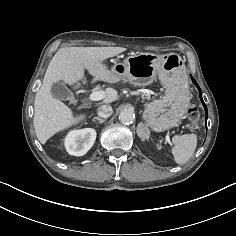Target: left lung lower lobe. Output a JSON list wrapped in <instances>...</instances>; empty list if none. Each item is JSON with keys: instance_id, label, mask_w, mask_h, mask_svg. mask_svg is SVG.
<instances>
[{"instance_id": "1", "label": "left lung lower lobe", "mask_w": 236, "mask_h": 236, "mask_svg": "<svg viewBox=\"0 0 236 236\" xmlns=\"http://www.w3.org/2000/svg\"><path fill=\"white\" fill-rule=\"evenodd\" d=\"M192 81L197 86V88L199 90V96H200V99L202 101V104H203L205 112H206V121H207L208 111H207V107H206V105H205V103H204V101L202 99V92H201L200 87L198 86L197 82L194 80V78H192Z\"/></svg>"}]
</instances>
